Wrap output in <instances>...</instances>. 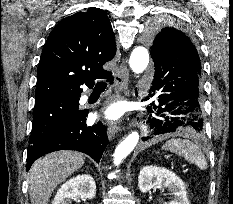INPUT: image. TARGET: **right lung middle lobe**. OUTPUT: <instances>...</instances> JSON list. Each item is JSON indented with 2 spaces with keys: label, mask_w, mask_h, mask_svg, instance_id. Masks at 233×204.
I'll return each instance as SVG.
<instances>
[{
  "label": "right lung middle lobe",
  "mask_w": 233,
  "mask_h": 204,
  "mask_svg": "<svg viewBox=\"0 0 233 204\" xmlns=\"http://www.w3.org/2000/svg\"><path fill=\"white\" fill-rule=\"evenodd\" d=\"M79 96H54L35 103L29 143L52 133L79 110Z\"/></svg>",
  "instance_id": "right-lung-middle-lobe-1"
}]
</instances>
